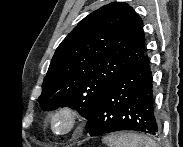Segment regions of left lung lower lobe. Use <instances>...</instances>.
I'll use <instances>...</instances> for the list:
<instances>
[{
    "mask_svg": "<svg viewBox=\"0 0 183 147\" xmlns=\"http://www.w3.org/2000/svg\"><path fill=\"white\" fill-rule=\"evenodd\" d=\"M133 130L157 135L149 59L140 57L103 93L91 112L86 131L91 136Z\"/></svg>",
    "mask_w": 183,
    "mask_h": 147,
    "instance_id": "obj_1",
    "label": "left lung lower lobe"
}]
</instances>
